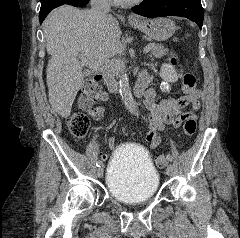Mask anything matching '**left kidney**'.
Listing matches in <instances>:
<instances>
[{"label": "left kidney", "instance_id": "1", "mask_svg": "<svg viewBox=\"0 0 240 238\" xmlns=\"http://www.w3.org/2000/svg\"><path fill=\"white\" fill-rule=\"evenodd\" d=\"M160 77L163 79L161 88L164 91L170 90L169 83H174L178 80L177 72L171 64L164 63L161 67Z\"/></svg>", "mask_w": 240, "mask_h": 238}]
</instances>
